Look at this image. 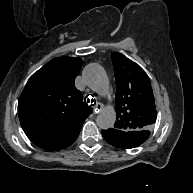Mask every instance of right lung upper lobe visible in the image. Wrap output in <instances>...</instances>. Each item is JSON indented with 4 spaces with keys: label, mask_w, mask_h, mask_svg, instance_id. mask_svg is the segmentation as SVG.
Instances as JSON below:
<instances>
[{
    "label": "right lung upper lobe",
    "mask_w": 193,
    "mask_h": 193,
    "mask_svg": "<svg viewBox=\"0 0 193 193\" xmlns=\"http://www.w3.org/2000/svg\"><path fill=\"white\" fill-rule=\"evenodd\" d=\"M81 66L80 58H54L30 77L21 94V126L42 149L56 151L70 146L92 113L74 86Z\"/></svg>",
    "instance_id": "obj_1"
}]
</instances>
